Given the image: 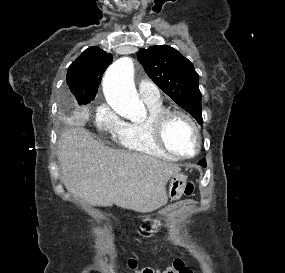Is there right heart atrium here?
I'll return each mask as SVG.
<instances>
[{"label": "right heart atrium", "instance_id": "1", "mask_svg": "<svg viewBox=\"0 0 285 273\" xmlns=\"http://www.w3.org/2000/svg\"><path fill=\"white\" fill-rule=\"evenodd\" d=\"M94 122L99 130L111 133L115 136L124 124L115 110L106 102L100 103L97 106Z\"/></svg>", "mask_w": 285, "mask_h": 273}]
</instances>
